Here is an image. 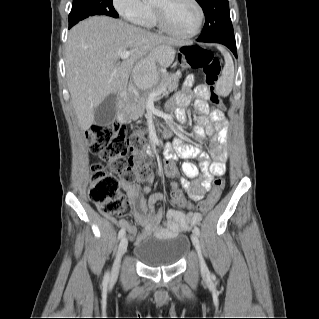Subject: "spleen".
Wrapping results in <instances>:
<instances>
[{
	"label": "spleen",
	"mask_w": 319,
	"mask_h": 319,
	"mask_svg": "<svg viewBox=\"0 0 319 319\" xmlns=\"http://www.w3.org/2000/svg\"><path fill=\"white\" fill-rule=\"evenodd\" d=\"M225 59V65L221 73V77L216 83L217 94L226 97L230 94L234 81V64L230 54L223 48L218 47Z\"/></svg>",
	"instance_id": "3e777b00"
}]
</instances>
